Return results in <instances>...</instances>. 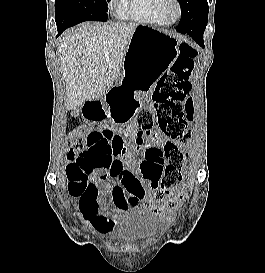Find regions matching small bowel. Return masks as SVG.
Wrapping results in <instances>:
<instances>
[{
  "label": "small bowel",
  "instance_id": "c3829d8e",
  "mask_svg": "<svg viewBox=\"0 0 265 273\" xmlns=\"http://www.w3.org/2000/svg\"><path fill=\"white\" fill-rule=\"evenodd\" d=\"M117 96H134V91H111L105 105L85 103V108L89 109H84L83 119H88L89 123H103L108 115L114 118V123H125L132 108H138V103H130L136 102V97ZM74 129H93V124H74ZM136 131V125L129 123L128 133L132 135ZM111 146L112 162L109 169L97 171L94 176L96 180L107 179L105 187L97 189L95 195L81 193L73 196L79 200V210L83 218L97 232L108 234L123 219L127 210L140 206L147 199L155 214L165 217L170 208L152 203L149 186H152L153 172L162 168L166 159H159L149 151L150 146H146L144 158L136 160L128 153L127 145L120 136L112 141ZM136 170H139V177ZM109 199L112 203L107 205Z\"/></svg>",
  "mask_w": 265,
  "mask_h": 273
}]
</instances>
